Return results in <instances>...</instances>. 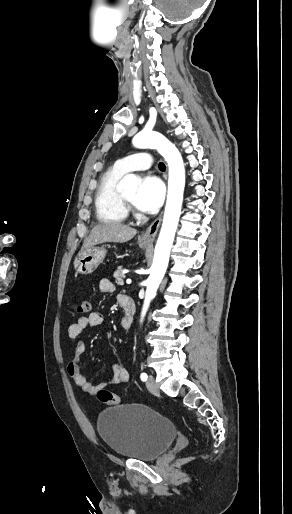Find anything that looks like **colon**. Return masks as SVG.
Wrapping results in <instances>:
<instances>
[{
  "label": "colon",
  "mask_w": 292,
  "mask_h": 514,
  "mask_svg": "<svg viewBox=\"0 0 292 514\" xmlns=\"http://www.w3.org/2000/svg\"><path fill=\"white\" fill-rule=\"evenodd\" d=\"M74 310L78 314H88L90 312V301L81 299L74 304ZM98 400L104 404L116 406L121 403L120 397L108 389H100L97 392Z\"/></svg>",
  "instance_id": "obj_1"
}]
</instances>
